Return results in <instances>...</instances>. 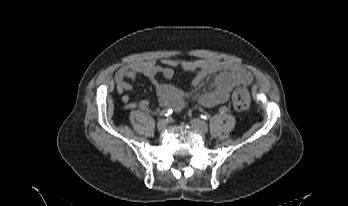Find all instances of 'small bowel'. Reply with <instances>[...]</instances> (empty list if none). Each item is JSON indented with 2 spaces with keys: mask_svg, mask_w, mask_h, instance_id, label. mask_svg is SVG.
Wrapping results in <instances>:
<instances>
[{
  "mask_svg": "<svg viewBox=\"0 0 348 206\" xmlns=\"http://www.w3.org/2000/svg\"><path fill=\"white\" fill-rule=\"evenodd\" d=\"M175 68H181L192 73L188 91L168 83H162L157 79L158 75L171 79ZM213 74L216 75L214 89L202 92L196 97V101L205 107L227 102L235 86H249L253 81L250 72L242 65L216 59H164L161 64L153 60L130 62L118 68L115 81L117 92L122 94V102L126 109L146 110L148 108V100L131 101L129 95L126 94L131 89V81L135 80L137 75H143L154 85L160 106L180 111L186 106L190 92L196 89L207 76Z\"/></svg>",
  "mask_w": 348,
  "mask_h": 206,
  "instance_id": "c3829d8e",
  "label": "small bowel"
}]
</instances>
